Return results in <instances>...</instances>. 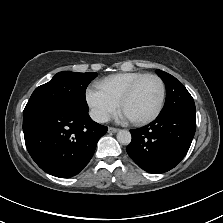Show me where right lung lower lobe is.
Segmentation results:
<instances>
[{"instance_id": "98d812e1", "label": "right lung lower lobe", "mask_w": 223, "mask_h": 223, "mask_svg": "<svg viewBox=\"0 0 223 223\" xmlns=\"http://www.w3.org/2000/svg\"><path fill=\"white\" fill-rule=\"evenodd\" d=\"M23 132L27 150L42 170L70 178L90 161L107 127L88 113L52 109L23 115Z\"/></svg>"}]
</instances>
